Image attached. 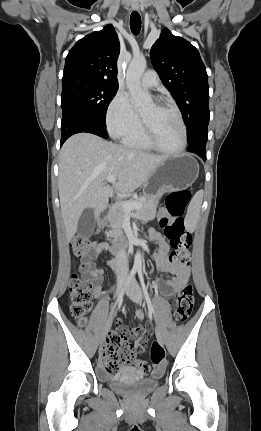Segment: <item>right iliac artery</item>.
<instances>
[{
    "mask_svg": "<svg viewBox=\"0 0 261 431\" xmlns=\"http://www.w3.org/2000/svg\"><path fill=\"white\" fill-rule=\"evenodd\" d=\"M136 272H137V269H136V268H133V269L131 270V272H130V274H129V276H128V278H127V280H126L125 284H124V287H123V289H122V292H121V294H120L119 298L116 300V303H115V304H114V306L111 308L110 315L113 313V311H114V309H115V307H116L117 303H118V302H121V300H122V298H123V295H124V292H125L126 288L128 287L129 283L131 282V280L134 278V276H135Z\"/></svg>",
    "mask_w": 261,
    "mask_h": 431,
    "instance_id": "1",
    "label": "right iliac artery"
}]
</instances>
